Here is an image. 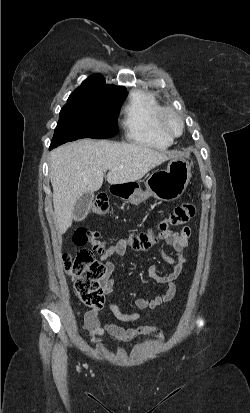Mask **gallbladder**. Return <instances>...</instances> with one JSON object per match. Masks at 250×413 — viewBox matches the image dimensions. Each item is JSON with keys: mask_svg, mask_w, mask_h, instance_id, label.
Masks as SVG:
<instances>
[{"mask_svg": "<svg viewBox=\"0 0 250 413\" xmlns=\"http://www.w3.org/2000/svg\"><path fill=\"white\" fill-rule=\"evenodd\" d=\"M93 199L94 194L92 192L84 193L78 198L73 210V218L75 221H82L87 216Z\"/></svg>", "mask_w": 250, "mask_h": 413, "instance_id": "obj_1", "label": "gallbladder"}]
</instances>
